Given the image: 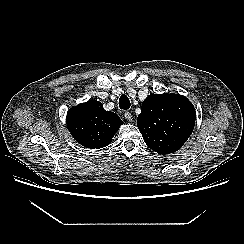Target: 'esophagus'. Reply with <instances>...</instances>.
Segmentation results:
<instances>
[{
	"instance_id": "1",
	"label": "esophagus",
	"mask_w": 244,
	"mask_h": 244,
	"mask_svg": "<svg viewBox=\"0 0 244 244\" xmlns=\"http://www.w3.org/2000/svg\"><path fill=\"white\" fill-rule=\"evenodd\" d=\"M124 117L127 121L131 122L133 120L132 114L128 111L124 113Z\"/></svg>"
}]
</instances>
